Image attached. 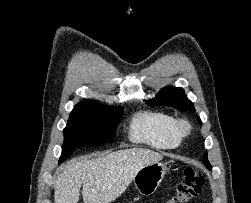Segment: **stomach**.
I'll use <instances>...</instances> for the list:
<instances>
[{"label":"stomach","mask_w":251,"mask_h":203,"mask_svg":"<svg viewBox=\"0 0 251 203\" xmlns=\"http://www.w3.org/2000/svg\"><path fill=\"white\" fill-rule=\"evenodd\" d=\"M167 170V164L161 162H155L140 169L133 179L138 192L142 195L153 194Z\"/></svg>","instance_id":"1"}]
</instances>
